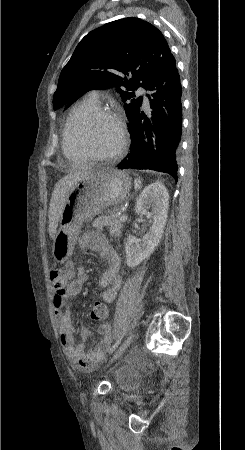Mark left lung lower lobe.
<instances>
[{"mask_svg": "<svg viewBox=\"0 0 245 450\" xmlns=\"http://www.w3.org/2000/svg\"><path fill=\"white\" fill-rule=\"evenodd\" d=\"M152 112H138L129 124L130 153L119 169H151L177 180L176 155L182 131L181 83L172 55L149 83Z\"/></svg>", "mask_w": 245, "mask_h": 450, "instance_id": "obj_1", "label": "left lung lower lobe"}]
</instances>
